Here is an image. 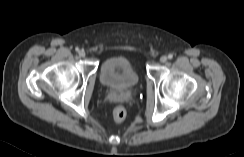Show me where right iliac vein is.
Returning <instances> with one entry per match:
<instances>
[{
	"mask_svg": "<svg viewBox=\"0 0 244 157\" xmlns=\"http://www.w3.org/2000/svg\"><path fill=\"white\" fill-rule=\"evenodd\" d=\"M79 56L80 57H84L85 56V51L84 50H80L79 51Z\"/></svg>",
	"mask_w": 244,
	"mask_h": 157,
	"instance_id": "obj_1",
	"label": "right iliac vein"
}]
</instances>
